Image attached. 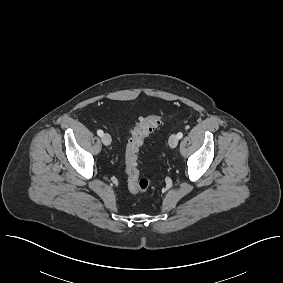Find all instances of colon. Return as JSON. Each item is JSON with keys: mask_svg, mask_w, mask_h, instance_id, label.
<instances>
[{"mask_svg": "<svg viewBox=\"0 0 283 283\" xmlns=\"http://www.w3.org/2000/svg\"><path fill=\"white\" fill-rule=\"evenodd\" d=\"M163 124V117L152 114L142 119L132 130L125 149V171L127 185L131 193H144L149 191V179L140 177L139 151L145 139Z\"/></svg>", "mask_w": 283, "mask_h": 283, "instance_id": "5ec220e1", "label": "colon"}]
</instances>
